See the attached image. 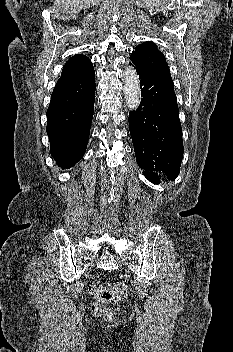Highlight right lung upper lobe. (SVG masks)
<instances>
[{
  "label": "right lung upper lobe",
  "instance_id": "1",
  "mask_svg": "<svg viewBox=\"0 0 233 352\" xmlns=\"http://www.w3.org/2000/svg\"><path fill=\"white\" fill-rule=\"evenodd\" d=\"M92 68L93 65L87 56L74 55L65 63L58 82L74 79Z\"/></svg>",
  "mask_w": 233,
  "mask_h": 352
}]
</instances>
